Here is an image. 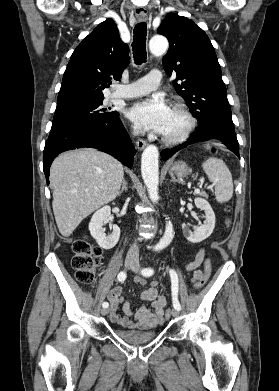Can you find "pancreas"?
Here are the masks:
<instances>
[{
	"mask_svg": "<svg viewBox=\"0 0 279 391\" xmlns=\"http://www.w3.org/2000/svg\"><path fill=\"white\" fill-rule=\"evenodd\" d=\"M200 196L204 197V198H208V194L205 193V192H201L199 193Z\"/></svg>",
	"mask_w": 279,
	"mask_h": 391,
	"instance_id": "pancreas-1",
	"label": "pancreas"
}]
</instances>
